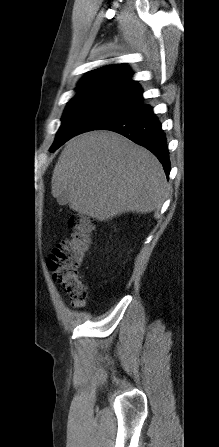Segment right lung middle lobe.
Segmentation results:
<instances>
[{
  "mask_svg": "<svg viewBox=\"0 0 219 447\" xmlns=\"http://www.w3.org/2000/svg\"><path fill=\"white\" fill-rule=\"evenodd\" d=\"M69 101L62 124L50 151L53 152L70 138L98 129L101 125L130 112L142 100L111 88H77Z\"/></svg>",
  "mask_w": 219,
  "mask_h": 447,
  "instance_id": "obj_1",
  "label": "right lung middle lobe"
}]
</instances>
